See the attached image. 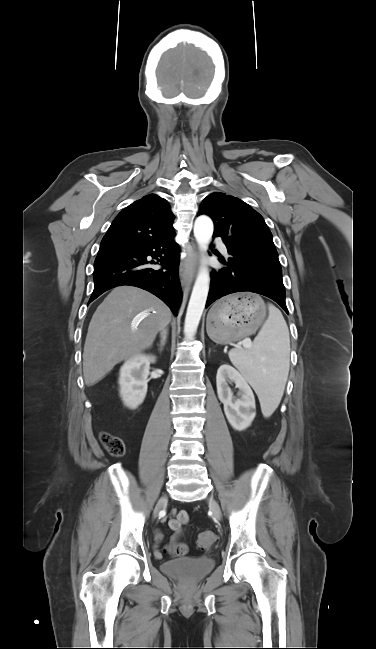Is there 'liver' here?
I'll return each mask as SVG.
<instances>
[{"mask_svg": "<svg viewBox=\"0 0 376 649\" xmlns=\"http://www.w3.org/2000/svg\"><path fill=\"white\" fill-rule=\"evenodd\" d=\"M170 319L167 305L148 291L129 285L114 288L88 327L83 353L85 385H95L117 363L149 348Z\"/></svg>", "mask_w": 376, "mask_h": 649, "instance_id": "6515ba94", "label": "liver"}]
</instances>
